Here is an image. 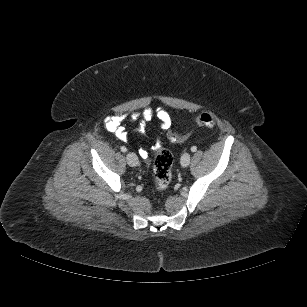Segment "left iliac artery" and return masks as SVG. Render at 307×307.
<instances>
[{
	"mask_svg": "<svg viewBox=\"0 0 307 307\" xmlns=\"http://www.w3.org/2000/svg\"><path fill=\"white\" fill-rule=\"evenodd\" d=\"M196 150H197V147H196V146L191 147V151H192V152H196Z\"/></svg>",
	"mask_w": 307,
	"mask_h": 307,
	"instance_id": "left-iliac-artery-1",
	"label": "left iliac artery"
}]
</instances>
